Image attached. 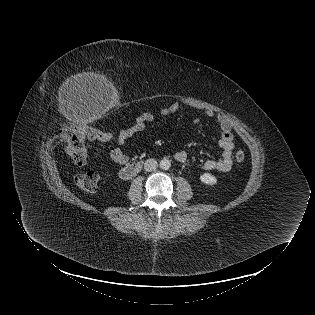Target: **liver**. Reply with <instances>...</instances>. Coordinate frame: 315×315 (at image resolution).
<instances>
[{
    "label": "liver",
    "mask_w": 315,
    "mask_h": 315,
    "mask_svg": "<svg viewBox=\"0 0 315 315\" xmlns=\"http://www.w3.org/2000/svg\"><path fill=\"white\" fill-rule=\"evenodd\" d=\"M84 83H100L107 84V79L104 75H99L94 72H83L71 76L63 85V89H71Z\"/></svg>",
    "instance_id": "1"
}]
</instances>
